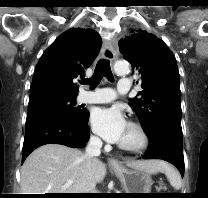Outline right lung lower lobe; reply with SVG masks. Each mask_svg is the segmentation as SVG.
Here are the masks:
<instances>
[{
    "label": "right lung lower lobe",
    "mask_w": 208,
    "mask_h": 198,
    "mask_svg": "<svg viewBox=\"0 0 208 198\" xmlns=\"http://www.w3.org/2000/svg\"><path fill=\"white\" fill-rule=\"evenodd\" d=\"M88 118L78 121L62 114L38 115L26 120L22 163L36 148L45 144H62L77 148L89 138Z\"/></svg>",
    "instance_id": "98d812e1"
}]
</instances>
